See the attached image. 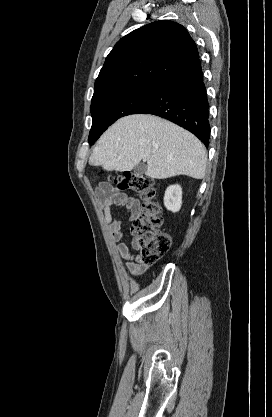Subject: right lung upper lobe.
<instances>
[{
    "mask_svg": "<svg viewBox=\"0 0 272 417\" xmlns=\"http://www.w3.org/2000/svg\"><path fill=\"white\" fill-rule=\"evenodd\" d=\"M197 58L196 44L182 25L168 20L147 24L121 38L108 54L92 101L130 87L161 85Z\"/></svg>",
    "mask_w": 272,
    "mask_h": 417,
    "instance_id": "1",
    "label": "right lung upper lobe"
}]
</instances>
